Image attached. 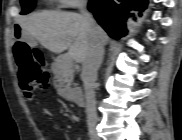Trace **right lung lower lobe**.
Listing matches in <instances>:
<instances>
[{
    "instance_id": "1",
    "label": "right lung lower lobe",
    "mask_w": 182,
    "mask_h": 140,
    "mask_svg": "<svg viewBox=\"0 0 182 140\" xmlns=\"http://www.w3.org/2000/svg\"><path fill=\"white\" fill-rule=\"evenodd\" d=\"M147 4L148 0H91L88 9L111 37L119 39L126 35L125 21Z\"/></svg>"
}]
</instances>
